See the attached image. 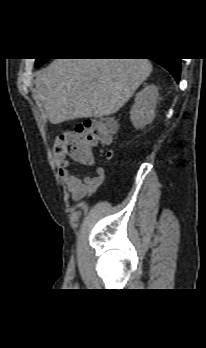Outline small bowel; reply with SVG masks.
Segmentation results:
<instances>
[{
  "label": "small bowel",
  "instance_id": "1",
  "mask_svg": "<svg viewBox=\"0 0 206 348\" xmlns=\"http://www.w3.org/2000/svg\"><path fill=\"white\" fill-rule=\"evenodd\" d=\"M56 161L59 166V174L74 201H80L92 196L105 182L106 169L103 166L96 168V175L93 177L77 178L70 173V163L68 160L62 156H57ZM94 162L95 159L93 158L86 165H93Z\"/></svg>",
  "mask_w": 206,
  "mask_h": 348
}]
</instances>
